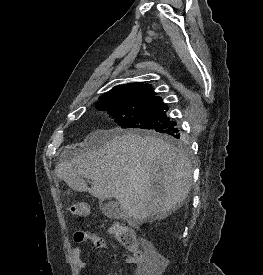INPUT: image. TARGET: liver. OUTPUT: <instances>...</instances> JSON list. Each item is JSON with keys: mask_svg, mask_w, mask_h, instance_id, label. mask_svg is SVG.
<instances>
[{"mask_svg": "<svg viewBox=\"0 0 263 275\" xmlns=\"http://www.w3.org/2000/svg\"><path fill=\"white\" fill-rule=\"evenodd\" d=\"M82 146V152L56 166L57 177L100 200L116 198L131 223L167 217L190 192V161L158 136L96 130ZM85 178L93 180L91 188Z\"/></svg>", "mask_w": 263, "mask_h": 275, "instance_id": "obj_1", "label": "liver"}]
</instances>
